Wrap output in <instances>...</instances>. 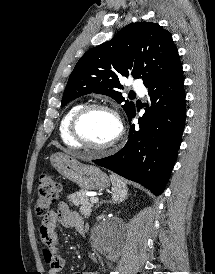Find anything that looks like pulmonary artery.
Wrapping results in <instances>:
<instances>
[{"instance_id":"pulmonary-artery-1","label":"pulmonary artery","mask_w":215,"mask_h":274,"mask_svg":"<svg viewBox=\"0 0 215 274\" xmlns=\"http://www.w3.org/2000/svg\"><path fill=\"white\" fill-rule=\"evenodd\" d=\"M133 89L140 94H143L145 92V87L138 81H135L133 83Z\"/></svg>"}]
</instances>
